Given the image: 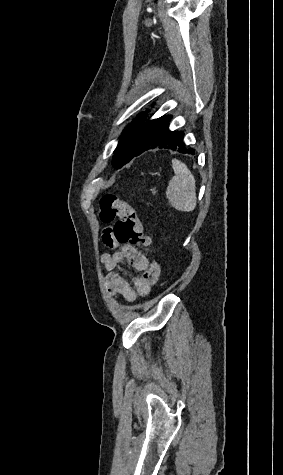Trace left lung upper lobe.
Listing matches in <instances>:
<instances>
[{
  "mask_svg": "<svg viewBox=\"0 0 283 475\" xmlns=\"http://www.w3.org/2000/svg\"><path fill=\"white\" fill-rule=\"evenodd\" d=\"M147 115V112H142L138 115V117L125 128L123 134H131L132 136L138 135L144 126Z\"/></svg>",
  "mask_w": 283,
  "mask_h": 475,
  "instance_id": "1",
  "label": "left lung upper lobe"
}]
</instances>
